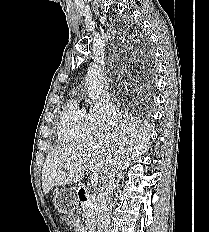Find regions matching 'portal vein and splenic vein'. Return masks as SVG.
Wrapping results in <instances>:
<instances>
[{
    "label": "portal vein and splenic vein",
    "mask_w": 209,
    "mask_h": 232,
    "mask_svg": "<svg viewBox=\"0 0 209 232\" xmlns=\"http://www.w3.org/2000/svg\"><path fill=\"white\" fill-rule=\"evenodd\" d=\"M88 169H90V166H86ZM90 180H91V186L93 188H96L97 184H98V180H99V175L98 173L96 172H92L91 174V177H90Z\"/></svg>",
    "instance_id": "1"
}]
</instances>
